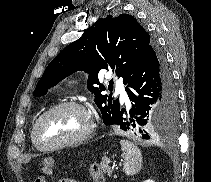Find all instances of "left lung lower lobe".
<instances>
[{"label": "left lung lower lobe", "mask_w": 211, "mask_h": 182, "mask_svg": "<svg viewBox=\"0 0 211 182\" xmlns=\"http://www.w3.org/2000/svg\"><path fill=\"white\" fill-rule=\"evenodd\" d=\"M125 90L132 101V108L129 118L123 117L126 109H120L117 124L121 129L127 131L131 125L136 136L142 139L154 137L155 131L146 127L152 106H157L161 127L177 126L179 111L173 76L164 53L155 42L146 51Z\"/></svg>", "instance_id": "left-lung-lower-lobe-1"}]
</instances>
